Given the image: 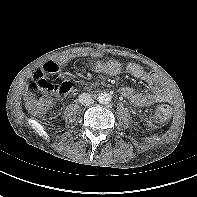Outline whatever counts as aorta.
<instances>
[{
    "label": "aorta",
    "mask_w": 197,
    "mask_h": 197,
    "mask_svg": "<svg viewBox=\"0 0 197 197\" xmlns=\"http://www.w3.org/2000/svg\"><path fill=\"white\" fill-rule=\"evenodd\" d=\"M112 100L111 94L103 92L98 96V102L101 104H109Z\"/></svg>",
    "instance_id": "762f6f07"
}]
</instances>
